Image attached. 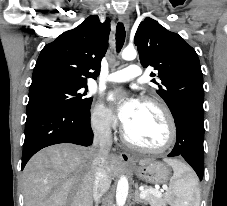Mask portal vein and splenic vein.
<instances>
[{"label":"portal vein and splenic vein","instance_id":"obj_1","mask_svg":"<svg viewBox=\"0 0 227 206\" xmlns=\"http://www.w3.org/2000/svg\"><path fill=\"white\" fill-rule=\"evenodd\" d=\"M163 189L167 190V186L163 185ZM148 193H152L155 196L161 197L162 193L158 189H151V190H142L140 193V197L144 199Z\"/></svg>","mask_w":227,"mask_h":206}]
</instances>
